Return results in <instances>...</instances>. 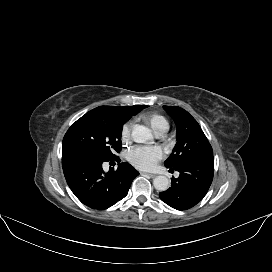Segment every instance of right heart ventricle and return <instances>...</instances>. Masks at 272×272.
Masks as SVG:
<instances>
[{
  "instance_id": "obj_1",
  "label": "right heart ventricle",
  "mask_w": 272,
  "mask_h": 272,
  "mask_svg": "<svg viewBox=\"0 0 272 272\" xmlns=\"http://www.w3.org/2000/svg\"><path fill=\"white\" fill-rule=\"evenodd\" d=\"M143 119L148 123L155 133H165L169 129V122L162 114L151 112L143 116Z\"/></svg>"
}]
</instances>
